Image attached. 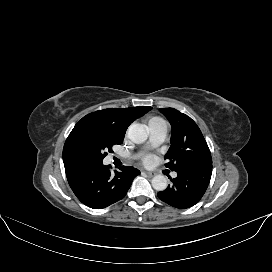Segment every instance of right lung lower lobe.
<instances>
[{"instance_id": "right-lung-lower-lobe-1", "label": "right lung lower lobe", "mask_w": 272, "mask_h": 272, "mask_svg": "<svg viewBox=\"0 0 272 272\" xmlns=\"http://www.w3.org/2000/svg\"><path fill=\"white\" fill-rule=\"evenodd\" d=\"M68 183L86 206L105 208L125 197L133 179L140 174L134 167L122 166L112 175L107 166L73 165L65 168Z\"/></svg>"}]
</instances>
